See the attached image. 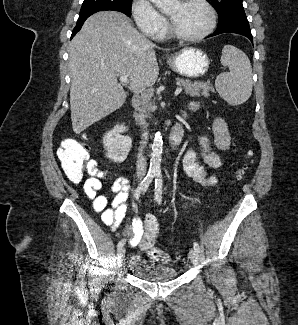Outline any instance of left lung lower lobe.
<instances>
[{"label":"left lung lower lobe","instance_id":"1","mask_svg":"<svg viewBox=\"0 0 298 325\" xmlns=\"http://www.w3.org/2000/svg\"><path fill=\"white\" fill-rule=\"evenodd\" d=\"M227 32L246 36L253 43V37L245 13L232 15L225 21L218 23L216 31L208 37Z\"/></svg>","mask_w":298,"mask_h":325}]
</instances>
